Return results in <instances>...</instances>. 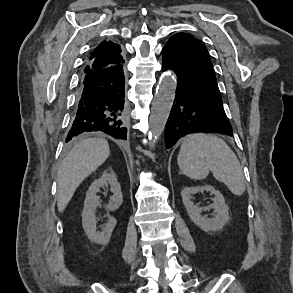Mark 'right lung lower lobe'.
I'll return each mask as SVG.
<instances>
[{
    "label": "right lung lower lobe",
    "mask_w": 293,
    "mask_h": 293,
    "mask_svg": "<svg viewBox=\"0 0 293 293\" xmlns=\"http://www.w3.org/2000/svg\"><path fill=\"white\" fill-rule=\"evenodd\" d=\"M124 87L122 65L86 72L66 142L86 132L126 140Z\"/></svg>",
    "instance_id": "98d812e1"
}]
</instances>
